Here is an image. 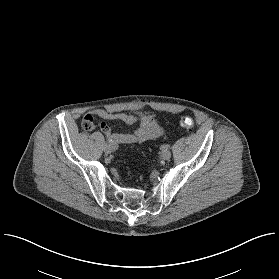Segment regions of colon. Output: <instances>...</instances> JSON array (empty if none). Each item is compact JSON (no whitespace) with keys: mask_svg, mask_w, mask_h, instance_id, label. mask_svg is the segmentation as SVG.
Here are the masks:
<instances>
[{"mask_svg":"<svg viewBox=\"0 0 279 279\" xmlns=\"http://www.w3.org/2000/svg\"><path fill=\"white\" fill-rule=\"evenodd\" d=\"M179 124L181 127L185 128V129H190L193 127L194 122L192 120V118L188 115H183L180 117L179 119ZM83 128L86 131H90L92 130V127L86 123L83 124Z\"/></svg>","mask_w":279,"mask_h":279,"instance_id":"obj_1","label":"colon"}]
</instances>
